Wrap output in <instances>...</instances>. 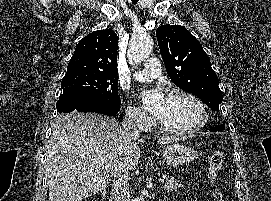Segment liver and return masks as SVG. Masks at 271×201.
Returning a JSON list of instances; mask_svg holds the SVG:
<instances>
[{"instance_id":"obj_1","label":"liver","mask_w":271,"mask_h":201,"mask_svg":"<svg viewBox=\"0 0 271 201\" xmlns=\"http://www.w3.org/2000/svg\"><path fill=\"white\" fill-rule=\"evenodd\" d=\"M139 137H126L114 118L93 113L58 115L47 145L49 201H82L106 189L114 175L138 164ZM170 138L158 143L168 144ZM101 163H95V160Z\"/></svg>"}]
</instances>
